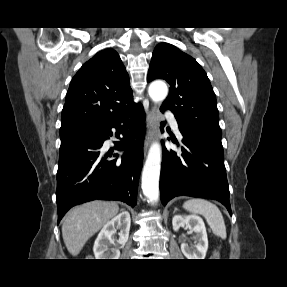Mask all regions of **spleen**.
Segmentation results:
<instances>
[{
	"mask_svg": "<svg viewBox=\"0 0 287 287\" xmlns=\"http://www.w3.org/2000/svg\"><path fill=\"white\" fill-rule=\"evenodd\" d=\"M183 207L193 214L202 215L216 236L222 239L226 238L227 234L224 219L221 211L215 204L205 199L195 198L186 201Z\"/></svg>",
	"mask_w": 287,
	"mask_h": 287,
	"instance_id": "3e777b00",
	"label": "spleen"
}]
</instances>
